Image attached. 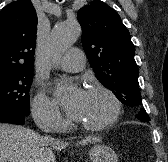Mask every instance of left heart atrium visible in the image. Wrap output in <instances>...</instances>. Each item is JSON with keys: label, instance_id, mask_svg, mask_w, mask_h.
Here are the masks:
<instances>
[{"label": "left heart atrium", "instance_id": "39dd6f15", "mask_svg": "<svg viewBox=\"0 0 168 162\" xmlns=\"http://www.w3.org/2000/svg\"><path fill=\"white\" fill-rule=\"evenodd\" d=\"M57 95L59 96L62 105L68 114L72 118L78 119L82 113L87 91L82 88H77L74 91L68 93L65 87L61 86L57 89Z\"/></svg>", "mask_w": 168, "mask_h": 162}]
</instances>
